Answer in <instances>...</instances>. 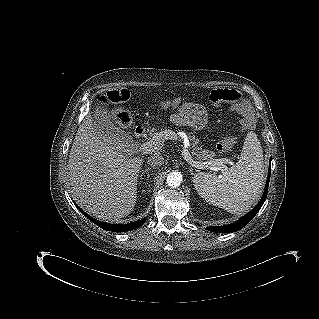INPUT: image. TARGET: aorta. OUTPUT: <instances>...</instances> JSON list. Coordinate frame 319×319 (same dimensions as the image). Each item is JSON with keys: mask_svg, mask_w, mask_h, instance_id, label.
<instances>
[{"mask_svg": "<svg viewBox=\"0 0 319 319\" xmlns=\"http://www.w3.org/2000/svg\"><path fill=\"white\" fill-rule=\"evenodd\" d=\"M182 174L178 171H173L168 174L166 183L172 188L179 187L182 182Z\"/></svg>", "mask_w": 319, "mask_h": 319, "instance_id": "762f6f07", "label": "aorta"}]
</instances>
